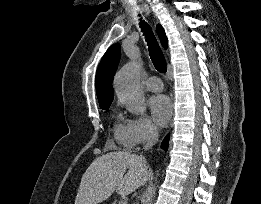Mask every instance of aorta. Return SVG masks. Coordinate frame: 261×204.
<instances>
[{
	"mask_svg": "<svg viewBox=\"0 0 261 204\" xmlns=\"http://www.w3.org/2000/svg\"><path fill=\"white\" fill-rule=\"evenodd\" d=\"M140 64L132 61L123 66L115 76L116 94L122 100L127 109L136 115H143L146 112L145 97L139 81ZM155 188L146 195L143 204H150Z\"/></svg>",
	"mask_w": 261,
	"mask_h": 204,
	"instance_id": "1",
	"label": "aorta"
}]
</instances>
